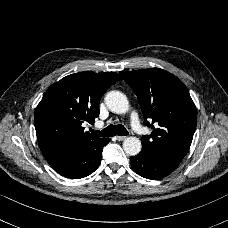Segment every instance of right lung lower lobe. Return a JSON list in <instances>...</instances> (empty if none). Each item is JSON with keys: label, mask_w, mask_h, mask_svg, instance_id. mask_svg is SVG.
<instances>
[{"label": "right lung lower lobe", "mask_w": 228, "mask_h": 228, "mask_svg": "<svg viewBox=\"0 0 228 228\" xmlns=\"http://www.w3.org/2000/svg\"><path fill=\"white\" fill-rule=\"evenodd\" d=\"M109 138H95L71 152L47 159L62 176L72 179L83 178L93 173L101 162L102 149Z\"/></svg>", "instance_id": "right-lung-lower-lobe-1"}]
</instances>
